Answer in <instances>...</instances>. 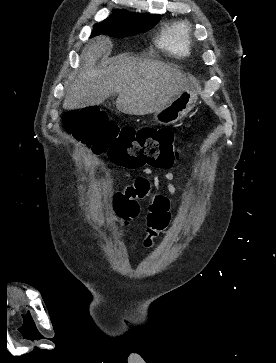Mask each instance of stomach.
I'll use <instances>...</instances> for the list:
<instances>
[{
    "label": "stomach",
    "mask_w": 276,
    "mask_h": 363,
    "mask_svg": "<svg viewBox=\"0 0 276 363\" xmlns=\"http://www.w3.org/2000/svg\"><path fill=\"white\" fill-rule=\"evenodd\" d=\"M196 101L197 93L194 90H184L168 105L154 112V119L162 125L174 124L193 109Z\"/></svg>",
    "instance_id": "0dacf381"
}]
</instances>
